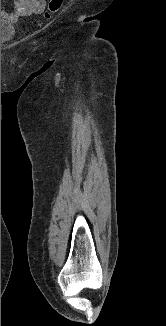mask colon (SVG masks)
<instances>
[{
  "mask_svg": "<svg viewBox=\"0 0 166 326\" xmlns=\"http://www.w3.org/2000/svg\"><path fill=\"white\" fill-rule=\"evenodd\" d=\"M63 0H50L48 4V8L44 13L46 18H51L56 12L60 10L62 7Z\"/></svg>",
  "mask_w": 166,
  "mask_h": 326,
  "instance_id": "obj_1",
  "label": "colon"
}]
</instances>
